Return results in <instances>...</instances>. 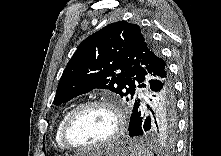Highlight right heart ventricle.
<instances>
[{"mask_svg": "<svg viewBox=\"0 0 221 156\" xmlns=\"http://www.w3.org/2000/svg\"><path fill=\"white\" fill-rule=\"evenodd\" d=\"M76 107V105H73L69 108H67L64 113L61 115V117L58 120V123L56 125V129H55V143L57 145V147L61 150V151H66L67 148L62 144L61 142V137H60V133H61V128L63 125L64 120L66 119V117L68 116V114Z\"/></svg>", "mask_w": 221, "mask_h": 156, "instance_id": "1", "label": "right heart ventricle"}]
</instances>
